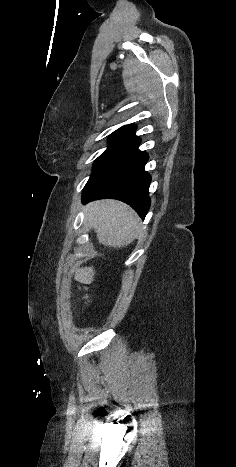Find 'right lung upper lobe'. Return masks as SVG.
Listing matches in <instances>:
<instances>
[{
    "instance_id": "cb5924a9",
    "label": "right lung upper lobe",
    "mask_w": 236,
    "mask_h": 467,
    "mask_svg": "<svg viewBox=\"0 0 236 467\" xmlns=\"http://www.w3.org/2000/svg\"><path fill=\"white\" fill-rule=\"evenodd\" d=\"M118 130H127V131H132L133 132L135 130V125H132V124L126 125V126L121 127Z\"/></svg>"
}]
</instances>
